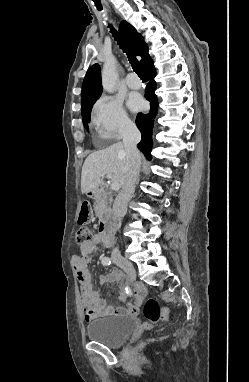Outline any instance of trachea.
Segmentation results:
<instances>
[{"mask_svg": "<svg viewBox=\"0 0 249 382\" xmlns=\"http://www.w3.org/2000/svg\"><path fill=\"white\" fill-rule=\"evenodd\" d=\"M95 1V6L97 7L98 10H102V5L100 3V1ZM109 27L111 28V33L113 35V37L115 38V40L118 42V44L120 45V48L123 49V51L127 54V57H128V60L132 66V69L133 71L140 77V78H146V73L143 71L139 61L137 60V58L135 57V55L133 53H131L129 51V49L127 48L126 46V43L124 42V40L121 38V36L118 34V32L112 27V25L110 24Z\"/></svg>", "mask_w": 249, "mask_h": 382, "instance_id": "3493384b", "label": "trachea"}]
</instances>
